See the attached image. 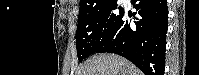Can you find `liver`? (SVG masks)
I'll return each instance as SVG.
<instances>
[{"label": "liver", "instance_id": "1", "mask_svg": "<svg viewBox=\"0 0 199 75\" xmlns=\"http://www.w3.org/2000/svg\"><path fill=\"white\" fill-rule=\"evenodd\" d=\"M76 75H142V72L118 55L99 54L81 65Z\"/></svg>", "mask_w": 199, "mask_h": 75}]
</instances>
